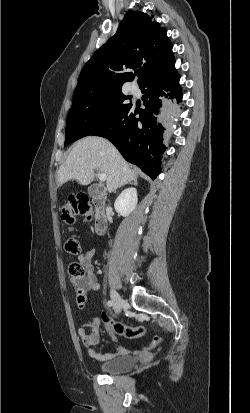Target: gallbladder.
<instances>
[{
    "label": "gallbladder",
    "instance_id": "obj_1",
    "mask_svg": "<svg viewBox=\"0 0 250 413\" xmlns=\"http://www.w3.org/2000/svg\"><path fill=\"white\" fill-rule=\"evenodd\" d=\"M89 192H90V193H93V187H90V188H89Z\"/></svg>",
    "mask_w": 250,
    "mask_h": 413
}]
</instances>
